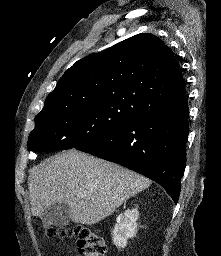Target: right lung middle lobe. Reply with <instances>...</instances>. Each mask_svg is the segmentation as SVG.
I'll list each match as a JSON object with an SVG mask.
<instances>
[{
    "label": "right lung middle lobe",
    "mask_w": 221,
    "mask_h": 256,
    "mask_svg": "<svg viewBox=\"0 0 221 256\" xmlns=\"http://www.w3.org/2000/svg\"><path fill=\"white\" fill-rule=\"evenodd\" d=\"M135 117L131 110L110 104L40 114L35 117L36 126L30 133L28 148L32 151L78 148Z\"/></svg>",
    "instance_id": "1"
}]
</instances>
